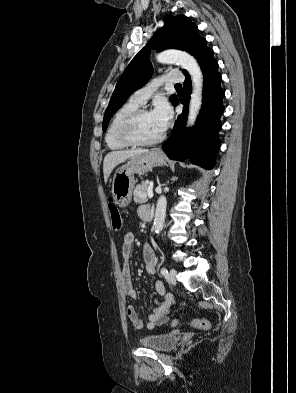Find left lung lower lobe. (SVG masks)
<instances>
[{
	"label": "left lung lower lobe",
	"mask_w": 296,
	"mask_h": 393,
	"mask_svg": "<svg viewBox=\"0 0 296 393\" xmlns=\"http://www.w3.org/2000/svg\"><path fill=\"white\" fill-rule=\"evenodd\" d=\"M199 65L204 75V89L197 124L192 129L185 127L191 92V80L188 74L185 75L184 82L185 96L181 100L184 104L183 112L177 117L172 134L163 147L170 159L183 161L189 158L194 164L212 169L219 148L218 131L221 128L220 116L224 111L222 103L224 91L221 88V76L217 71L218 63L213 57V50Z\"/></svg>",
	"instance_id": "0a47b994"
}]
</instances>
